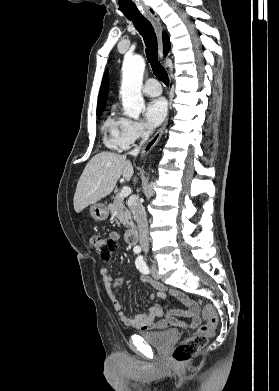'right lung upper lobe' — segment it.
Wrapping results in <instances>:
<instances>
[{"label":"right lung upper lobe","instance_id":"obj_1","mask_svg":"<svg viewBox=\"0 0 279 391\" xmlns=\"http://www.w3.org/2000/svg\"><path fill=\"white\" fill-rule=\"evenodd\" d=\"M170 49V41L168 35L163 32V52L166 54ZM108 85H109V80H108V72L107 70L105 71L100 92H99V97H98V104H97V110L98 109H104V105L107 100V95H108Z\"/></svg>","mask_w":279,"mask_h":391}]
</instances>
